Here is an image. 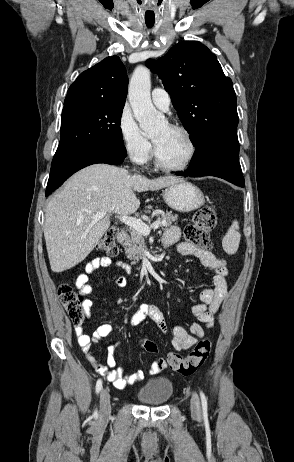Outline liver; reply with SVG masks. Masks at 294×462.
<instances>
[{
  "label": "liver",
  "mask_w": 294,
  "mask_h": 462,
  "mask_svg": "<svg viewBox=\"0 0 294 462\" xmlns=\"http://www.w3.org/2000/svg\"><path fill=\"white\" fill-rule=\"evenodd\" d=\"M180 181L175 176L148 179L106 164L75 173L46 208L44 237L52 271L63 272L83 261L108 230L112 214L135 213L140 206L135 191L159 190ZM99 212L106 216L93 219Z\"/></svg>",
  "instance_id": "1"
}]
</instances>
